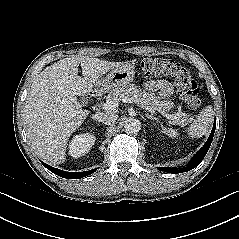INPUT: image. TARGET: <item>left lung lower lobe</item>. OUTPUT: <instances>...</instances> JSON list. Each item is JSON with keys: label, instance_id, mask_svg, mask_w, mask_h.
<instances>
[{"label": "left lung lower lobe", "instance_id": "obj_1", "mask_svg": "<svg viewBox=\"0 0 239 239\" xmlns=\"http://www.w3.org/2000/svg\"><path fill=\"white\" fill-rule=\"evenodd\" d=\"M215 129H216V121H215V123L213 125L212 131L210 133V136H209L208 140L203 145V147L194 155V157L190 161V164L187 167L179 168V169H177V168H169V167H161V168H159V170L160 171H164V172L178 174V173H181V172L190 171L193 168L197 167L201 163V161L203 160V158L205 157L206 153L209 150V147H210V145L212 143V140H213Z\"/></svg>", "mask_w": 239, "mask_h": 239}]
</instances>
